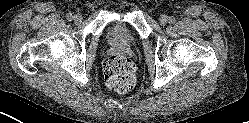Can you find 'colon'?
Segmentation results:
<instances>
[{
  "mask_svg": "<svg viewBox=\"0 0 249 123\" xmlns=\"http://www.w3.org/2000/svg\"><path fill=\"white\" fill-rule=\"evenodd\" d=\"M104 76L107 86L120 93L130 91L136 84L134 64L122 55H112L106 59Z\"/></svg>",
  "mask_w": 249,
  "mask_h": 123,
  "instance_id": "colon-1",
  "label": "colon"
}]
</instances>
